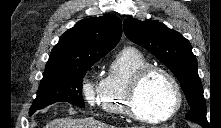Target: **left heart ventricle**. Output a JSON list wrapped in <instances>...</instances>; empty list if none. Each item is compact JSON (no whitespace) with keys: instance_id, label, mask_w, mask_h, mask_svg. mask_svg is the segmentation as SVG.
<instances>
[{"instance_id":"obj_1","label":"left heart ventricle","mask_w":221,"mask_h":128,"mask_svg":"<svg viewBox=\"0 0 221 128\" xmlns=\"http://www.w3.org/2000/svg\"><path fill=\"white\" fill-rule=\"evenodd\" d=\"M174 97L168 79L161 73H154L142 84L136 100L137 108L149 117H158L167 112Z\"/></svg>"}]
</instances>
